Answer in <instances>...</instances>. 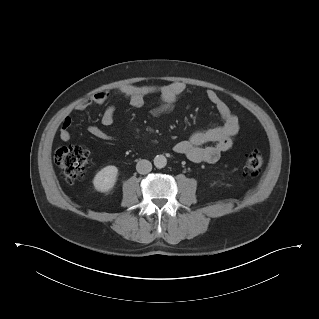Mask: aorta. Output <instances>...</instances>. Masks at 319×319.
Here are the masks:
<instances>
[{
    "mask_svg": "<svg viewBox=\"0 0 319 319\" xmlns=\"http://www.w3.org/2000/svg\"><path fill=\"white\" fill-rule=\"evenodd\" d=\"M167 164V159L164 155H157L154 158V165L156 168H164Z\"/></svg>",
    "mask_w": 319,
    "mask_h": 319,
    "instance_id": "762f6f07",
    "label": "aorta"
}]
</instances>
